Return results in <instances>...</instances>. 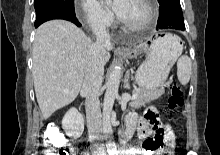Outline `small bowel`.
<instances>
[{"label": "small bowel", "instance_id": "1", "mask_svg": "<svg viewBox=\"0 0 220 155\" xmlns=\"http://www.w3.org/2000/svg\"><path fill=\"white\" fill-rule=\"evenodd\" d=\"M126 124L129 128L126 138L132 136L136 131L139 138L144 139V149L148 151L147 144L151 139H148L152 134V131L156 134V127H160L163 132L174 140V133L170 125L162 123L159 118V114L155 105H148L145 115L138 117L136 114H130L127 116ZM151 152V151H149Z\"/></svg>", "mask_w": 220, "mask_h": 155}]
</instances>
